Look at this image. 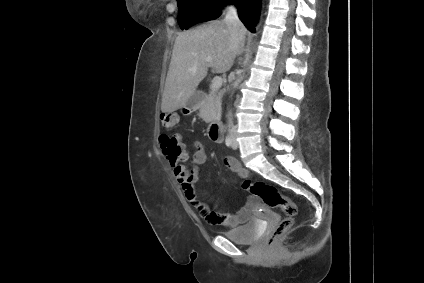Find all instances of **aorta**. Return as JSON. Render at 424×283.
I'll list each match as a JSON object with an SVG mask.
<instances>
[{"label": "aorta", "instance_id": "762f6f07", "mask_svg": "<svg viewBox=\"0 0 424 283\" xmlns=\"http://www.w3.org/2000/svg\"><path fill=\"white\" fill-rule=\"evenodd\" d=\"M241 80H242V75H240V76L236 79V81H235V83H234V87H237V86L239 85V83L241 82Z\"/></svg>", "mask_w": 424, "mask_h": 283}]
</instances>
